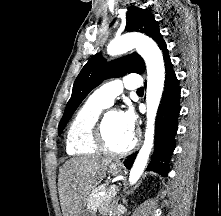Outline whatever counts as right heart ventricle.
<instances>
[{
	"mask_svg": "<svg viewBox=\"0 0 221 216\" xmlns=\"http://www.w3.org/2000/svg\"><path fill=\"white\" fill-rule=\"evenodd\" d=\"M106 107L104 103L90 97L79 109L66 135V150L69 155H91L99 151L95 142V129Z\"/></svg>",
	"mask_w": 221,
	"mask_h": 216,
	"instance_id": "right-heart-ventricle-1",
	"label": "right heart ventricle"
}]
</instances>
